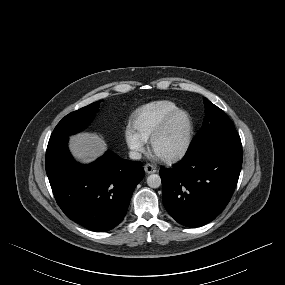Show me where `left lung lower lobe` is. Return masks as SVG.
<instances>
[{
  "mask_svg": "<svg viewBox=\"0 0 285 285\" xmlns=\"http://www.w3.org/2000/svg\"><path fill=\"white\" fill-rule=\"evenodd\" d=\"M242 166V144L232 143L188 153L173 168H161L162 200L180 224L211 222L228 204Z\"/></svg>",
  "mask_w": 285,
  "mask_h": 285,
  "instance_id": "0a47b994",
  "label": "left lung lower lobe"
}]
</instances>
